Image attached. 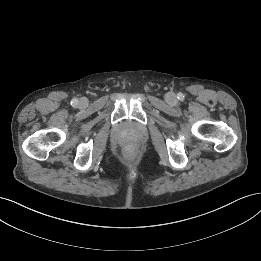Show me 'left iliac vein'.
<instances>
[{
    "label": "left iliac vein",
    "mask_w": 261,
    "mask_h": 261,
    "mask_svg": "<svg viewBox=\"0 0 261 261\" xmlns=\"http://www.w3.org/2000/svg\"><path fill=\"white\" fill-rule=\"evenodd\" d=\"M166 100H167V102H169V103H174V102L176 101V96H175V94H174V93H168V94L166 95Z\"/></svg>",
    "instance_id": "left-iliac-vein-1"
}]
</instances>
